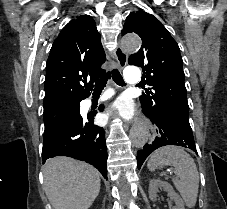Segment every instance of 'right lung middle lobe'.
I'll return each mask as SVG.
<instances>
[{
    "label": "right lung middle lobe",
    "instance_id": "dd1d6c3e",
    "mask_svg": "<svg viewBox=\"0 0 227 209\" xmlns=\"http://www.w3.org/2000/svg\"><path fill=\"white\" fill-rule=\"evenodd\" d=\"M78 108L79 102H66L44 107L45 131L76 114Z\"/></svg>",
    "mask_w": 227,
    "mask_h": 209
}]
</instances>
